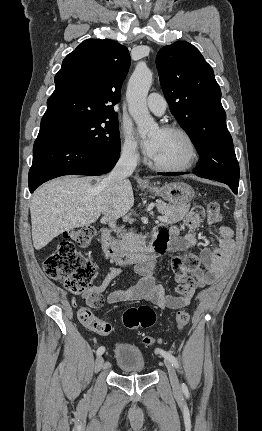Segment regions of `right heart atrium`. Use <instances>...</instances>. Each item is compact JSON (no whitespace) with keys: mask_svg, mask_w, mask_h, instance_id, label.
<instances>
[{"mask_svg":"<svg viewBox=\"0 0 262 431\" xmlns=\"http://www.w3.org/2000/svg\"><path fill=\"white\" fill-rule=\"evenodd\" d=\"M122 146L121 153L124 157L135 160L139 157V148L136 140L134 139L131 130L128 126H124L122 129Z\"/></svg>","mask_w":262,"mask_h":431,"instance_id":"1","label":"right heart atrium"}]
</instances>
